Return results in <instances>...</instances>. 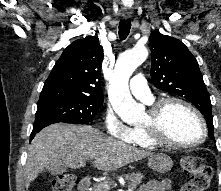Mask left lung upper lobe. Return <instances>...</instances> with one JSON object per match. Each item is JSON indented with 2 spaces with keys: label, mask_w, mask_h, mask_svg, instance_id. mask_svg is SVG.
<instances>
[{
  "label": "left lung upper lobe",
  "mask_w": 221,
  "mask_h": 191,
  "mask_svg": "<svg viewBox=\"0 0 221 191\" xmlns=\"http://www.w3.org/2000/svg\"><path fill=\"white\" fill-rule=\"evenodd\" d=\"M150 47L155 87L196 106L207 121L209 137L215 140L210 96L196 58L180 40L159 32L151 34Z\"/></svg>",
  "instance_id": "5c2ea615"
}]
</instances>
